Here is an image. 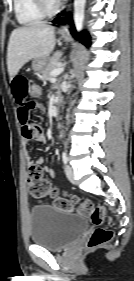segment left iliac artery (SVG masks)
Wrapping results in <instances>:
<instances>
[{
    "mask_svg": "<svg viewBox=\"0 0 134 281\" xmlns=\"http://www.w3.org/2000/svg\"><path fill=\"white\" fill-rule=\"evenodd\" d=\"M62 159H63L64 164H66L68 161V157H67V153L65 151H63V153H62Z\"/></svg>",
    "mask_w": 134,
    "mask_h": 281,
    "instance_id": "44dca946",
    "label": "left iliac artery"
}]
</instances>
